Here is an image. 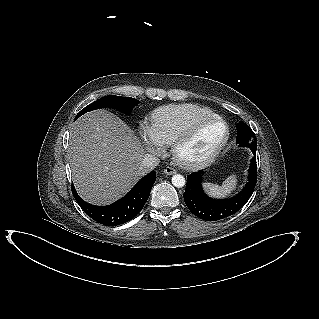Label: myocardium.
I'll use <instances>...</instances> for the list:
<instances>
[{"mask_svg":"<svg viewBox=\"0 0 319 319\" xmlns=\"http://www.w3.org/2000/svg\"><path fill=\"white\" fill-rule=\"evenodd\" d=\"M219 122L223 125L224 133L218 143L205 155L188 158L182 154L183 148L193 140L200 129L211 123ZM230 137V129L227 122L218 115H212L204 118H200L194 121L182 134H180L172 143V155L175 162L186 169H200L211 164L221 153Z\"/></svg>","mask_w":319,"mask_h":319,"instance_id":"1","label":"myocardium"}]
</instances>
